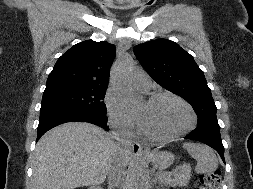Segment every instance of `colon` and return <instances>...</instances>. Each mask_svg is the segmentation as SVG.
Returning a JSON list of instances; mask_svg holds the SVG:
<instances>
[{"label":"colon","instance_id":"5ec220e1","mask_svg":"<svg viewBox=\"0 0 253 189\" xmlns=\"http://www.w3.org/2000/svg\"><path fill=\"white\" fill-rule=\"evenodd\" d=\"M221 183V172L219 170L204 172L199 177L198 189H218Z\"/></svg>","mask_w":253,"mask_h":189}]
</instances>
